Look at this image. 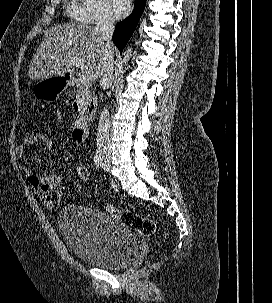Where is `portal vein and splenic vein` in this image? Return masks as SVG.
Here are the masks:
<instances>
[{
  "label": "portal vein and splenic vein",
  "instance_id": "portal-vein-and-splenic-vein-1",
  "mask_svg": "<svg viewBox=\"0 0 272 303\" xmlns=\"http://www.w3.org/2000/svg\"><path fill=\"white\" fill-rule=\"evenodd\" d=\"M70 62L74 63V64H77L78 63V60L77 59H73V60H70ZM79 81L82 85H89L91 79L89 76L87 75H80L79 76Z\"/></svg>",
  "mask_w": 272,
  "mask_h": 303
}]
</instances>
